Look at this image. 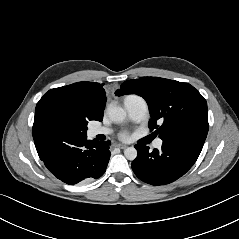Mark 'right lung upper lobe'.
Here are the masks:
<instances>
[{
	"label": "right lung upper lobe",
	"instance_id": "right-lung-upper-lobe-1",
	"mask_svg": "<svg viewBox=\"0 0 239 239\" xmlns=\"http://www.w3.org/2000/svg\"><path fill=\"white\" fill-rule=\"evenodd\" d=\"M104 84L95 82H77L71 85L50 89L37 103L35 119L43 105L60 104L80 115L88 123L89 120H103V111L106 104ZM37 150L44 146L34 140Z\"/></svg>",
	"mask_w": 239,
	"mask_h": 239
}]
</instances>
